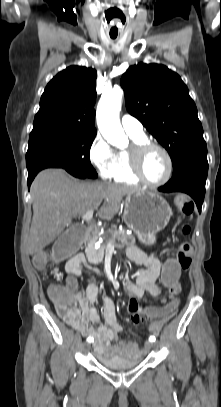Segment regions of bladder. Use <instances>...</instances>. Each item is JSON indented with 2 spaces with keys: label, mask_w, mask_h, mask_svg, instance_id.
<instances>
[{
  "label": "bladder",
  "mask_w": 221,
  "mask_h": 407,
  "mask_svg": "<svg viewBox=\"0 0 221 407\" xmlns=\"http://www.w3.org/2000/svg\"><path fill=\"white\" fill-rule=\"evenodd\" d=\"M96 359L100 365L111 370H126L139 366L142 362V357L139 356L133 359H124L120 357H108L97 353Z\"/></svg>",
  "instance_id": "1"
}]
</instances>
